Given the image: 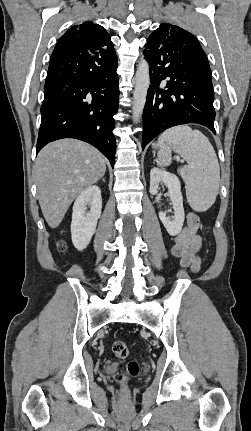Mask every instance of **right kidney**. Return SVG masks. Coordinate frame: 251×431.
Wrapping results in <instances>:
<instances>
[{"label":"right kidney","instance_id":"1","mask_svg":"<svg viewBox=\"0 0 251 431\" xmlns=\"http://www.w3.org/2000/svg\"><path fill=\"white\" fill-rule=\"evenodd\" d=\"M87 204L90 211L86 213ZM101 190L93 185L80 193L73 205L71 235L75 248L84 250L95 233L97 221L101 216Z\"/></svg>","mask_w":251,"mask_h":431}]
</instances>
